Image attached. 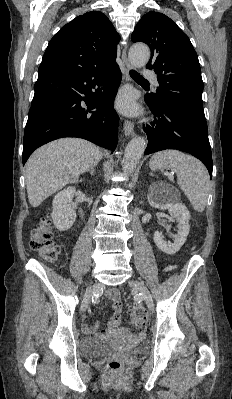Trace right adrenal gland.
Returning a JSON list of instances; mask_svg holds the SVG:
<instances>
[{
  "mask_svg": "<svg viewBox=\"0 0 232 399\" xmlns=\"http://www.w3.org/2000/svg\"><path fill=\"white\" fill-rule=\"evenodd\" d=\"M86 172H90L91 176H94V174H95V166H91V168H88V170H86Z\"/></svg>",
  "mask_w": 232,
  "mask_h": 399,
  "instance_id": "2a0ac1e0",
  "label": "right adrenal gland"
}]
</instances>
